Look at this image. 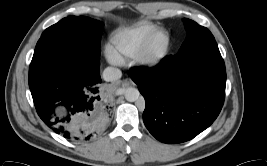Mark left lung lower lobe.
<instances>
[{
  "label": "left lung lower lobe",
  "mask_w": 267,
  "mask_h": 166,
  "mask_svg": "<svg viewBox=\"0 0 267 166\" xmlns=\"http://www.w3.org/2000/svg\"><path fill=\"white\" fill-rule=\"evenodd\" d=\"M145 98L143 121L159 141L193 139L219 115L225 99L226 70L215 39L166 56L152 67L130 69Z\"/></svg>",
  "instance_id": "obj_1"
}]
</instances>
